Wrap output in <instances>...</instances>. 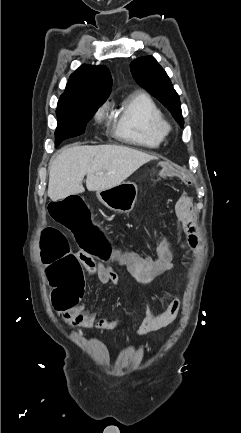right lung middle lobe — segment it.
Instances as JSON below:
<instances>
[{
	"mask_svg": "<svg viewBox=\"0 0 241 433\" xmlns=\"http://www.w3.org/2000/svg\"><path fill=\"white\" fill-rule=\"evenodd\" d=\"M103 103L100 101L58 103L55 146H58L64 139L83 134L86 122L92 118Z\"/></svg>",
	"mask_w": 241,
	"mask_h": 433,
	"instance_id": "right-lung-middle-lobe-1",
	"label": "right lung middle lobe"
}]
</instances>
